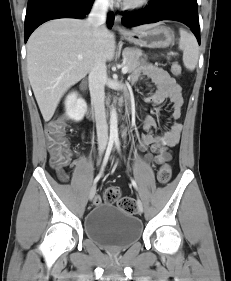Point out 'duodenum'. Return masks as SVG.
Here are the masks:
<instances>
[{
  "mask_svg": "<svg viewBox=\"0 0 231 281\" xmlns=\"http://www.w3.org/2000/svg\"><path fill=\"white\" fill-rule=\"evenodd\" d=\"M85 90H86V85H85V84H82V85H81V91H82V92H85ZM124 106H125V111H126V112H129L130 109H131V103H130V100H129V99H126V100H125ZM91 117L93 118L94 115L92 114Z\"/></svg>",
  "mask_w": 231,
  "mask_h": 281,
  "instance_id": "obj_1",
  "label": "duodenum"
}]
</instances>
